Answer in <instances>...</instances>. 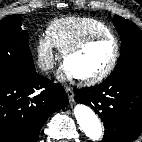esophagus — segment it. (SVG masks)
Returning a JSON list of instances; mask_svg holds the SVG:
<instances>
[{"mask_svg": "<svg viewBox=\"0 0 142 142\" xmlns=\"http://www.w3.org/2000/svg\"><path fill=\"white\" fill-rule=\"evenodd\" d=\"M70 102L74 101V92L70 88L65 89Z\"/></svg>", "mask_w": 142, "mask_h": 142, "instance_id": "esophagus-1", "label": "esophagus"}]
</instances>
